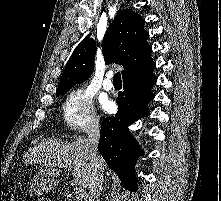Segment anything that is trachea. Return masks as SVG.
Listing matches in <instances>:
<instances>
[{
  "label": "trachea",
  "mask_w": 221,
  "mask_h": 201,
  "mask_svg": "<svg viewBox=\"0 0 221 201\" xmlns=\"http://www.w3.org/2000/svg\"><path fill=\"white\" fill-rule=\"evenodd\" d=\"M113 82H114V83H122L120 72H117V73L114 75V77H113Z\"/></svg>",
  "instance_id": "3493384b"
}]
</instances>
